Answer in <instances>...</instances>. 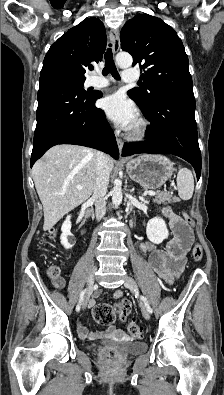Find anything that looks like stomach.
I'll return each mask as SVG.
<instances>
[{
  "label": "stomach",
  "mask_w": 224,
  "mask_h": 395,
  "mask_svg": "<svg viewBox=\"0 0 224 395\" xmlns=\"http://www.w3.org/2000/svg\"><path fill=\"white\" fill-rule=\"evenodd\" d=\"M130 178L147 189L160 188L173 174V163L161 155H140L126 164Z\"/></svg>",
  "instance_id": "obj_1"
}]
</instances>
